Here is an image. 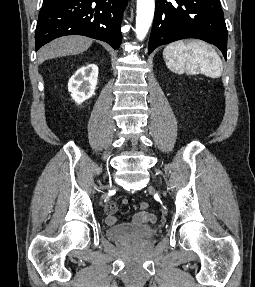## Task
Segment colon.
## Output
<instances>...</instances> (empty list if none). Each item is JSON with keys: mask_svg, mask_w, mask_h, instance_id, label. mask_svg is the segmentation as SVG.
I'll use <instances>...</instances> for the list:
<instances>
[{"mask_svg": "<svg viewBox=\"0 0 255 287\" xmlns=\"http://www.w3.org/2000/svg\"><path fill=\"white\" fill-rule=\"evenodd\" d=\"M139 206L141 210H147L149 208V204L145 201L141 202Z\"/></svg>", "mask_w": 255, "mask_h": 287, "instance_id": "obj_1", "label": "colon"}]
</instances>
